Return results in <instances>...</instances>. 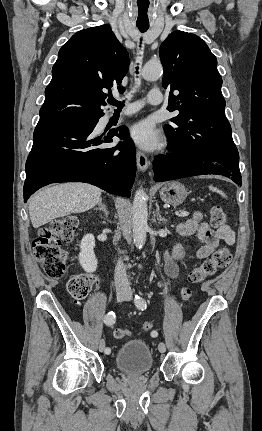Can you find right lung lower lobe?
<instances>
[{
	"label": "right lung lower lobe",
	"mask_w": 262,
	"mask_h": 431,
	"mask_svg": "<svg viewBox=\"0 0 262 431\" xmlns=\"http://www.w3.org/2000/svg\"><path fill=\"white\" fill-rule=\"evenodd\" d=\"M97 122L86 117L39 120L26 161L25 202L39 188L58 182H85L111 194L131 195L136 156L128 130L121 126L105 136H94ZM113 136L124 143L98 148L112 142Z\"/></svg>",
	"instance_id": "obj_1"
}]
</instances>
